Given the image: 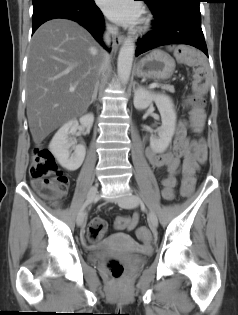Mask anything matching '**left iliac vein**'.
I'll use <instances>...</instances> for the list:
<instances>
[{
	"label": "left iliac vein",
	"mask_w": 238,
	"mask_h": 315,
	"mask_svg": "<svg viewBox=\"0 0 238 315\" xmlns=\"http://www.w3.org/2000/svg\"><path fill=\"white\" fill-rule=\"evenodd\" d=\"M117 203L119 206H121L123 208H133L139 204V199L137 196H135L131 193H127L126 195L117 199ZM148 220H149V225L152 228H157L158 218L152 210H149V212H148Z\"/></svg>",
	"instance_id": "1"
}]
</instances>
